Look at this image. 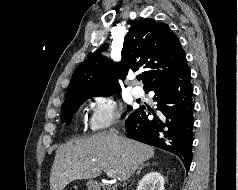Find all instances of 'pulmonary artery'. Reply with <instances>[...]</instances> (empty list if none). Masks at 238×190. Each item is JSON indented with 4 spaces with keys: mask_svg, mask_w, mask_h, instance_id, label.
Here are the masks:
<instances>
[{
    "mask_svg": "<svg viewBox=\"0 0 238 190\" xmlns=\"http://www.w3.org/2000/svg\"><path fill=\"white\" fill-rule=\"evenodd\" d=\"M131 92H132V95H133L134 97H136V98H141V97L144 96V91H143V89H142L141 87H138V86L133 87L132 90H131Z\"/></svg>",
    "mask_w": 238,
    "mask_h": 190,
    "instance_id": "obj_1",
    "label": "pulmonary artery"
}]
</instances>
